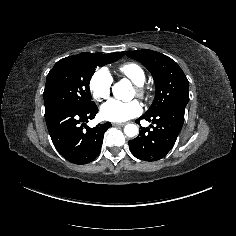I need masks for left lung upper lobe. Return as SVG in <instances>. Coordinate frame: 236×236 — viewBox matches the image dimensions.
Returning <instances> with one entry per match:
<instances>
[{
  "label": "left lung upper lobe",
  "instance_id": "left-lung-upper-lobe-1",
  "mask_svg": "<svg viewBox=\"0 0 236 236\" xmlns=\"http://www.w3.org/2000/svg\"><path fill=\"white\" fill-rule=\"evenodd\" d=\"M125 54L146 66L155 82V98L145 115L154 114L175 103H188L189 82L174 60L148 49L126 51Z\"/></svg>",
  "mask_w": 236,
  "mask_h": 236
}]
</instances>
